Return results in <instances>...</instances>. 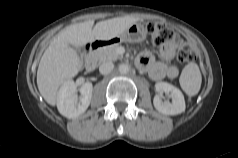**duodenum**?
I'll return each mask as SVG.
<instances>
[{
  "label": "duodenum",
  "instance_id": "obj_1",
  "mask_svg": "<svg viewBox=\"0 0 238 158\" xmlns=\"http://www.w3.org/2000/svg\"><path fill=\"white\" fill-rule=\"evenodd\" d=\"M109 44H111L110 41L97 40L88 46L89 52H88V56H87L86 62H85V67L88 71H93L96 67V63H97L96 53H97V51L100 48L107 46Z\"/></svg>",
  "mask_w": 238,
  "mask_h": 158
}]
</instances>
